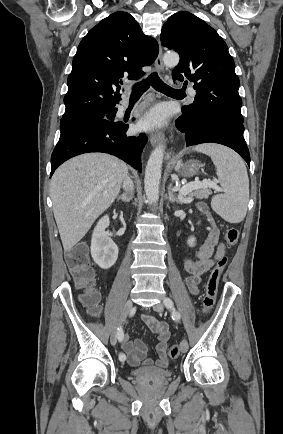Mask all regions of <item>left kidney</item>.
Wrapping results in <instances>:
<instances>
[{"mask_svg": "<svg viewBox=\"0 0 283 434\" xmlns=\"http://www.w3.org/2000/svg\"><path fill=\"white\" fill-rule=\"evenodd\" d=\"M195 241H196V238H195L194 236H191V237L188 238V240H187V244H188L190 247H193V246H195Z\"/></svg>", "mask_w": 283, "mask_h": 434, "instance_id": "5707ae66", "label": "left kidney"}]
</instances>
